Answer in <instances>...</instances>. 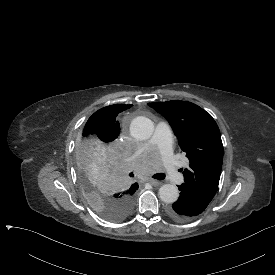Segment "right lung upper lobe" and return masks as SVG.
<instances>
[{
  "label": "right lung upper lobe",
  "instance_id": "obj_1",
  "mask_svg": "<svg viewBox=\"0 0 275 275\" xmlns=\"http://www.w3.org/2000/svg\"><path fill=\"white\" fill-rule=\"evenodd\" d=\"M132 105L114 104L96 111L87 121L83 134L98 136L102 142L109 143L115 140L120 133L119 122L116 121L117 115L130 108ZM138 189V184L124 191L125 195H132Z\"/></svg>",
  "mask_w": 275,
  "mask_h": 275
}]
</instances>
